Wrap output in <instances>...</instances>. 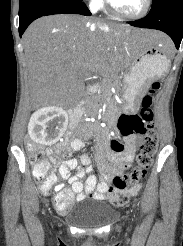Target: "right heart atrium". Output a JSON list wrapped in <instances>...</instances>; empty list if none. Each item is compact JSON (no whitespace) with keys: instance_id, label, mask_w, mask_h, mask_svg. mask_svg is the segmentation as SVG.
Returning <instances> with one entry per match:
<instances>
[{"instance_id":"d8ad5b80","label":"right heart atrium","mask_w":183,"mask_h":246,"mask_svg":"<svg viewBox=\"0 0 183 246\" xmlns=\"http://www.w3.org/2000/svg\"><path fill=\"white\" fill-rule=\"evenodd\" d=\"M89 2V5L92 9H97L101 3H102V0H87Z\"/></svg>"}]
</instances>
